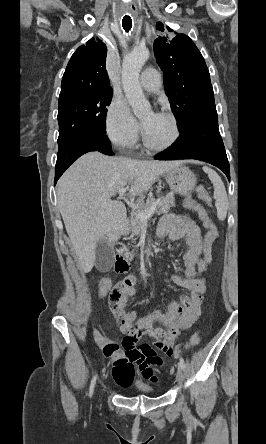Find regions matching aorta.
<instances>
[{"label": "aorta", "instance_id": "1", "mask_svg": "<svg viewBox=\"0 0 266 444\" xmlns=\"http://www.w3.org/2000/svg\"><path fill=\"white\" fill-rule=\"evenodd\" d=\"M149 54L147 48H137L124 58L122 64V84L124 93L137 117L146 114L151 109V105L145 98L139 83L141 68L149 58Z\"/></svg>", "mask_w": 266, "mask_h": 444}]
</instances>
